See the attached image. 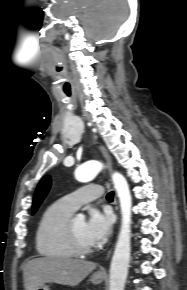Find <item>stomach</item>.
Instances as JSON below:
<instances>
[{"label":"stomach","instance_id":"1","mask_svg":"<svg viewBox=\"0 0 187 290\" xmlns=\"http://www.w3.org/2000/svg\"><path fill=\"white\" fill-rule=\"evenodd\" d=\"M104 280V276L99 275L98 273H94L91 277H90V281L93 284H100L102 281ZM36 290H49V287L46 285H42L39 288H37Z\"/></svg>","mask_w":187,"mask_h":290}]
</instances>
